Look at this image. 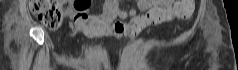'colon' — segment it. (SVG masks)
I'll use <instances>...</instances> for the list:
<instances>
[{
    "mask_svg": "<svg viewBox=\"0 0 238 70\" xmlns=\"http://www.w3.org/2000/svg\"><path fill=\"white\" fill-rule=\"evenodd\" d=\"M78 1H75V4H78ZM108 2L116 3L117 0ZM30 9L50 29L59 28L65 16V11L58 0H30ZM193 9L194 0H178V5L171 12L166 13V16L185 19L192 14Z\"/></svg>",
    "mask_w": 238,
    "mask_h": 70,
    "instance_id": "colon-1",
    "label": "colon"
}]
</instances>
